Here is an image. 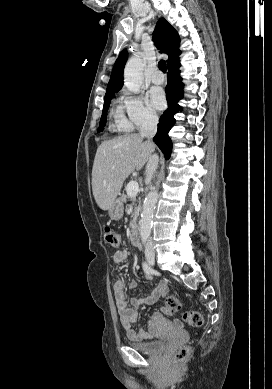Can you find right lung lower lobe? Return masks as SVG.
<instances>
[{"instance_id":"obj_1","label":"right lung lower lobe","mask_w":272,"mask_h":389,"mask_svg":"<svg viewBox=\"0 0 272 389\" xmlns=\"http://www.w3.org/2000/svg\"><path fill=\"white\" fill-rule=\"evenodd\" d=\"M179 67V60L168 66L167 86L165 89L168 109L161 116L157 134L153 138V141L163 152L166 159L170 158L172 150V141L168 136V132L176 122L173 115L177 113L178 110H181V106H179L177 102L183 97V83L182 78L180 77Z\"/></svg>"}]
</instances>
